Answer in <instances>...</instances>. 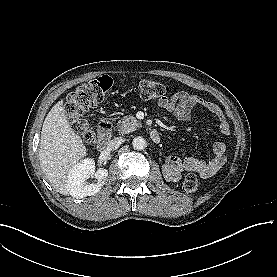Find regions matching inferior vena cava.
<instances>
[{"label": "inferior vena cava", "mask_w": 277, "mask_h": 277, "mask_svg": "<svg viewBox=\"0 0 277 277\" xmlns=\"http://www.w3.org/2000/svg\"><path fill=\"white\" fill-rule=\"evenodd\" d=\"M120 144H121V138L120 137H115V138L109 140L106 143V150L107 151H112L113 149L119 147Z\"/></svg>", "instance_id": "602c4592"}]
</instances>
